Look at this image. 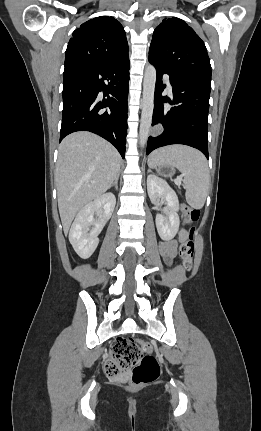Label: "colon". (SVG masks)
I'll list each match as a JSON object with an SVG mask.
<instances>
[{
    "mask_svg": "<svg viewBox=\"0 0 261 431\" xmlns=\"http://www.w3.org/2000/svg\"><path fill=\"white\" fill-rule=\"evenodd\" d=\"M188 227L179 248V256L183 267L190 271L193 267L194 237L196 228L192 223L199 219L200 212L182 205ZM105 371L109 376L117 377L131 371L130 381L134 386L147 385L155 381L160 374V366L151 354V346L131 338H119L111 349V358L105 364Z\"/></svg>",
    "mask_w": 261,
    "mask_h": 431,
    "instance_id": "1",
    "label": "colon"
}]
</instances>
